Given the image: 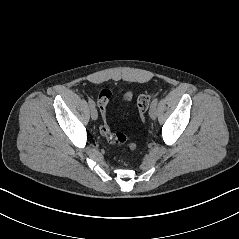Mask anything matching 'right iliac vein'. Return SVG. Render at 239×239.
I'll return each mask as SVG.
<instances>
[{
  "instance_id": "right-iliac-vein-1",
  "label": "right iliac vein",
  "mask_w": 239,
  "mask_h": 239,
  "mask_svg": "<svg viewBox=\"0 0 239 239\" xmlns=\"http://www.w3.org/2000/svg\"><path fill=\"white\" fill-rule=\"evenodd\" d=\"M90 114H91V118H92L93 120H97V118H98V112H97V110H96L95 107H90Z\"/></svg>"
}]
</instances>
